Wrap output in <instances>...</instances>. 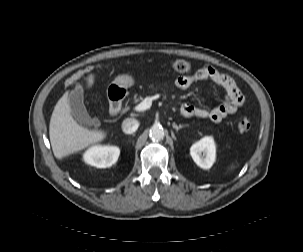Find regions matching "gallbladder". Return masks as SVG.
Listing matches in <instances>:
<instances>
[{
  "label": "gallbladder",
  "mask_w": 303,
  "mask_h": 252,
  "mask_svg": "<svg viewBox=\"0 0 303 252\" xmlns=\"http://www.w3.org/2000/svg\"><path fill=\"white\" fill-rule=\"evenodd\" d=\"M71 114L73 118L81 125H91L92 119L89 116L80 93H73L69 98Z\"/></svg>",
  "instance_id": "obj_1"
}]
</instances>
